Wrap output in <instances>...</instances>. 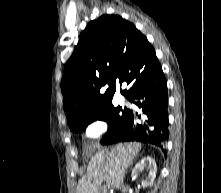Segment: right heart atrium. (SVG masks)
<instances>
[{
  "label": "right heart atrium",
  "instance_id": "obj_1",
  "mask_svg": "<svg viewBox=\"0 0 221 193\" xmlns=\"http://www.w3.org/2000/svg\"><path fill=\"white\" fill-rule=\"evenodd\" d=\"M106 131V123L103 120H95L91 122L85 131L86 137L89 139H97Z\"/></svg>",
  "mask_w": 221,
  "mask_h": 193
}]
</instances>
